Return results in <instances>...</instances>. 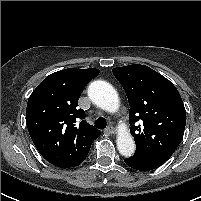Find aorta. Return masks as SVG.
<instances>
[{
  "label": "aorta",
  "mask_w": 201,
  "mask_h": 201,
  "mask_svg": "<svg viewBox=\"0 0 201 201\" xmlns=\"http://www.w3.org/2000/svg\"><path fill=\"white\" fill-rule=\"evenodd\" d=\"M88 96L101 109L114 113L119 108V97L114 87L102 80L92 82L88 87ZM119 153L130 157L135 152V142L127 128L119 130L116 140Z\"/></svg>",
  "instance_id": "762f6f07"
}]
</instances>
